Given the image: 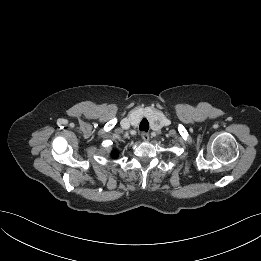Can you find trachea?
Returning a JSON list of instances; mask_svg holds the SVG:
<instances>
[{
  "instance_id": "obj_1",
  "label": "trachea",
  "mask_w": 261,
  "mask_h": 261,
  "mask_svg": "<svg viewBox=\"0 0 261 261\" xmlns=\"http://www.w3.org/2000/svg\"><path fill=\"white\" fill-rule=\"evenodd\" d=\"M139 129L141 131H145L147 132L149 130V122L146 118H144L141 123H140V126H139Z\"/></svg>"
}]
</instances>
